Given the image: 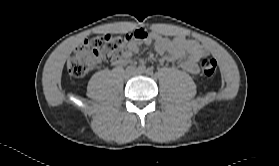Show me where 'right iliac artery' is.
<instances>
[{"label": "right iliac artery", "instance_id": "right-iliac-artery-1", "mask_svg": "<svg viewBox=\"0 0 279 166\" xmlns=\"http://www.w3.org/2000/svg\"><path fill=\"white\" fill-rule=\"evenodd\" d=\"M145 66L142 64V65H139V67H138V70L140 71V72H144L145 71Z\"/></svg>", "mask_w": 279, "mask_h": 166}]
</instances>
